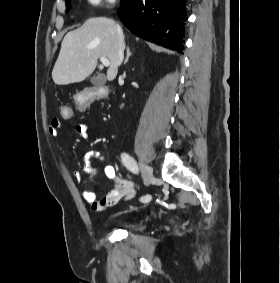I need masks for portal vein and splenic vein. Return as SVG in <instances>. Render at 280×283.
Returning a JSON list of instances; mask_svg holds the SVG:
<instances>
[{
    "mask_svg": "<svg viewBox=\"0 0 280 283\" xmlns=\"http://www.w3.org/2000/svg\"><path fill=\"white\" fill-rule=\"evenodd\" d=\"M100 61L106 67H108L110 65V61L106 57H100Z\"/></svg>",
    "mask_w": 280,
    "mask_h": 283,
    "instance_id": "portal-vein-and-splenic-vein-1",
    "label": "portal vein and splenic vein"
}]
</instances>
